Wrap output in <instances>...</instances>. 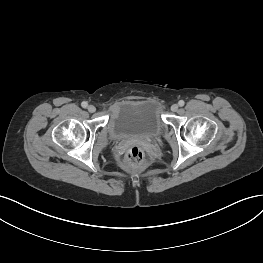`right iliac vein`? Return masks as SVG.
Wrapping results in <instances>:
<instances>
[{"label":"right iliac vein","mask_w":263,"mask_h":263,"mask_svg":"<svg viewBox=\"0 0 263 263\" xmlns=\"http://www.w3.org/2000/svg\"><path fill=\"white\" fill-rule=\"evenodd\" d=\"M87 109L90 113H94L96 111V108L93 105H89Z\"/></svg>","instance_id":"63e3f726"}]
</instances>
